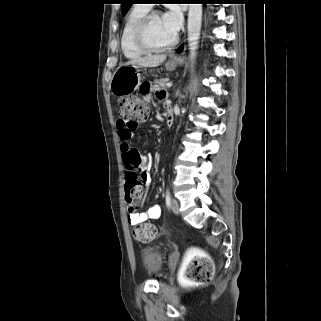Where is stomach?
<instances>
[{
  "mask_svg": "<svg viewBox=\"0 0 321 321\" xmlns=\"http://www.w3.org/2000/svg\"><path fill=\"white\" fill-rule=\"evenodd\" d=\"M177 59L171 57L166 63L167 71H174ZM140 67L136 65H123L117 68L110 82V89L114 95L123 97L137 89L141 82Z\"/></svg>",
  "mask_w": 321,
  "mask_h": 321,
  "instance_id": "0dacf381",
  "label": "stomach"
}]
</instances>
